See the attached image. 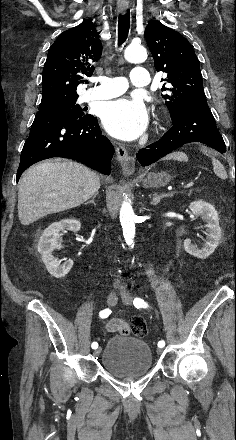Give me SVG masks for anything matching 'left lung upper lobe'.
Instances as JSON below:
<instances>
[{
	"instance_id": "left-lung-upper-lobe-1",
	"label": "left lung upper lobe",
	"mask_w": 236,
	"mask_h": 440,
	"mask_svg": "<svg viewBox=\"0 0 236 440\" xmlns=\"http://www.w3.org/2000/svg\"><path fill=\"white\" fill-rule=\"evenodd\" d=\"M147 45L152 53L155 69L165 72L163 79L171 85L163 86L169 94L162 97L172 121L177 120L192 103L206 102L202 75L191 44L177 31L153 20L145 29Z\"/></svg>"
}]
</instances>
